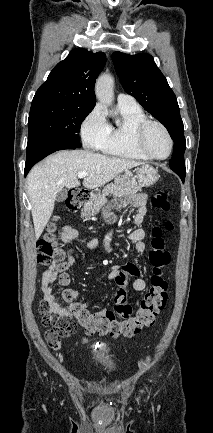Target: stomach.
Segmentation results:
<instances>
[{"label": "stomach", "instance_id": "0dacf381", "mask_svg": "<svg viewBox=\"0 0 213 433\" xmlns=\"http://www.w3.org/2000/svg\"><path fill=\"white\" fill-rule=\"evenodd\" d=\"M136 172L139 184L144 187L152 186L159 178L158 171L149 165L137 168Z\"/></svg>", "mask_w": 213, "mask_h": 433}]
</instances>
